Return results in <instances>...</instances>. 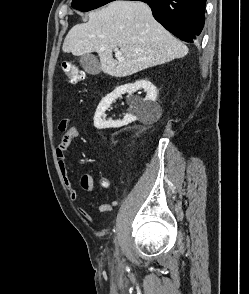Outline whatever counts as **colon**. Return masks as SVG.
Masks as SVG:
<instances>
[{
    "mask_svg": "<svg viewBox=\"0 0 249 294\" xmlns=\"http://www.w3.org/2000/svg\"><path fill=\"white\" fill-rule=\"evenodd\" d=\"M59 71L71 83H78L83 79V74L78 66L71 61L62 60L58 64ZM100 184L104 187L109 185V180L106 177L100 179Z\"/></svg>",
    "mask_w": 249,
    "mask_h": 294,
    "instance_id": "1",
    "label": "colon"
}]
</instances>
